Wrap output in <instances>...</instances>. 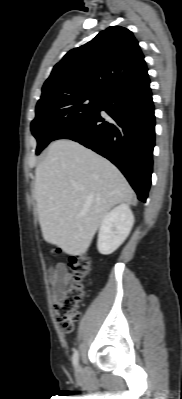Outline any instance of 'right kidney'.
Segmentation results:
<instances>
[{
	"label": "right kidney",
	"mask_w": 182,
	"mask_h": 399,
	"mask_svg": "<svg viewBox=\"0 0 182 399\" xmlns=\"http://www.w3.org/2000/svg\"><path fill=\"white\" fill-rule=\"evenodd\" d=\"M134 216L127 204H120L108 212L101 222L97 248L103 255L113 253L127 238Z\"/></svg>",
	"instance_id": "right-kidney-1"
}]
</instances>
